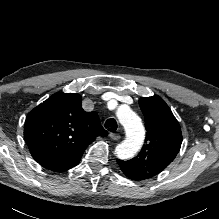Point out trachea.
Listing matches in <instances>:
<instances>
[{
  "label": "trachea",
  "instance_id": "3493384b",
  "mask_svg": "<svg viewBox=\"0 0 219 219\" xmlns=\"http://www.w3.org/2000/svg\"><path fill=\"white\" fill-rule=\"evenodd\" d=\"M105 128L109 130H116L117 129V122L114 118H110L105 122Z\"/></svg>",
  "mask_w": 219,
  "mask_h": 219
}]
</instances>
